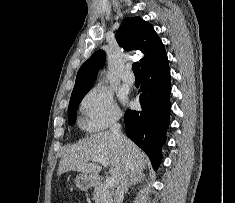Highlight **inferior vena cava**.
<instances>
[{
    "label": "inferior vena cava",
    "mask_w": 235,
    "mask_h": 203,
    "mask_svg": "<svg viewBox=\"0 0 235 203\" xmlns=\"http://www.w3.org/2000/svg\"><path fill=\"white\" fill-rule=\"evenodd\" d=\"M120 119V116L118 115L110 128L111 133L116 136L119 141L123 144L126 145V137L121 133V124L118 123V120ZM128 180H129V172L127 167H125L124 172L119 179V182L116 185V191H115V197H114V203H122L123 198H124V193L126 190V187L128 185Z\"/></svg>",
    "instance_id": "602c4592"
}]
</instances>
